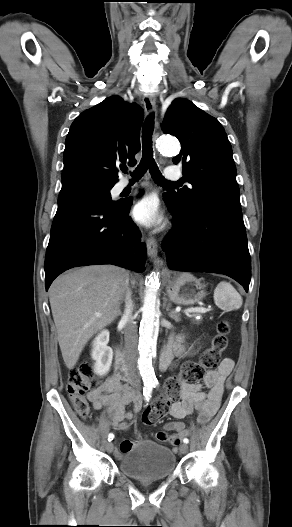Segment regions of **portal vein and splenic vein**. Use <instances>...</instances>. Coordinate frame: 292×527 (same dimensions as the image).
Segmentation results:
<instances>
[{
	"label": "portal vein and splenic vein",
	"instance_id": "18ae733b",
	"mask_svg": "<svg viewBox=\"0 0 292 527\" xmlns=\"http://www.w3.org/2000/svg\"><path fill=\"white\" fill-rule=\"evenodd\" d=\"M208 311V309L206 308H191V309H186L184 310V313L188 314V313H194V312H197V313H206ZM98 316H100L98 314Z\"/></svg>",
	"mask_w": 292,
	"mask_h": 527
}]
</instances>
